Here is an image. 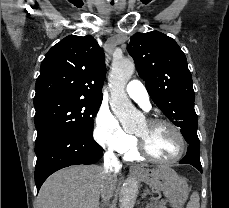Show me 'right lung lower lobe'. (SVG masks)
Instances as JSON below:
<instances>
[{
  "label": "right lung lower lobe",
  "mask_w": 229,
  "mask_h": 208,
  "mask_svg": "<svg viewBox=\"0 0 229 208\" xmlns=\"http://www.w3.org/2000/svg\"><path fill=\"white\" fill-rule=\"evenodd\" d=\"M35 153V183L38 192L43 182L61 168L97 163L103 155V148L93 140V136L63 130L35 144Z\"/></svg>",
  "instance_id": "right-lung-lower-lobe-1"
}]
</instances>
